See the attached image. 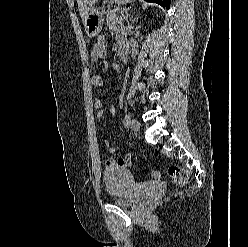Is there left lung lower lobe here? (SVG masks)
<instances>
[{
  "label": "left lung lower lobe",
  "mask_w": 248,
  "mask_h": 247,
  "mask_svg": "<svg viewBox=\"0 0 248 247\" xmlns=\"http://www.w3.org/2000/svg\"><path fill=\"white\" fill-rule=\"evenodd\" d=\"M147 2H154L160 4L162 7L169 9L171 0H145Z\"/></svg>",
  "instance_id": "0a47b994"
}]
</instances>
